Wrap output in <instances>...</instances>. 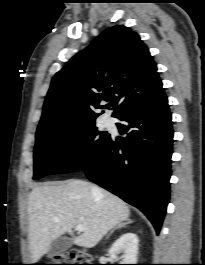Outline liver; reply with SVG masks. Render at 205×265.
Returning <instances> with one entry per match:
<instances>
[{
  "instance_id": "6515ba94",
  "label": "liver",
  "mask_w": 205,
  "mask_h": 265,
  "mask_svg": "<svg viewBox=\"0 0 205 265\" xmlns=\"http://www.w3.org/2000/svg\"><path fill=\"white\" fill-rule=\"evenodd\" d=\"M84 180L48 182L36 186L28 197L29 246L32 262H37L53 240L69 233L77 246L92 248L130 216L127 204ZM96 187V186H95ZM83 225L78 236L73 228Z\"/></svg>"
}]
</instances>
